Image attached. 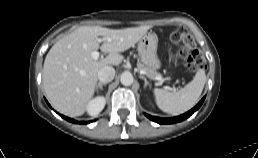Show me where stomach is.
I'll list each match as a JSON object with an SVG mask.
<instances>
[{
	"label": "stomach",
	"mask_w": 258,
	"mask_h": 158,
	"mask_svg": "<svg viewBox=\"0 0 258 158\" xmlns=\"http://www.w3.org/2000/svg\"><path fill=\"white\" fill-rule=\"evenodd\" d=\"M157 36L153 33L145 34L138 43V55L142 63L152 69L156 70L161 67V62L157 56Z\"/></svg>",
	"instance_id": "stomach-1"
}]
</instances>
